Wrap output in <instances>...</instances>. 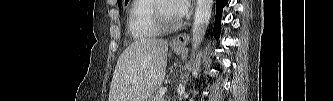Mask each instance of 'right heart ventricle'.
Wrapping results in <instances>:
<instances>
[{
	"label": "right heart ventricle",
	"instance_id": "e07e8e85",
	"mask_svg": "<svg viewBox=\"0 0 333 101\" xmlns=\"http://www.w3.org/2000/svg\"><path fill=\"white\" fill-rule=\"evenodd\" d=\"M155 0H134L129 10L127 27L130 35L138 41L149 40L160 33L154 23Z\"/></svg>",
	"mask_w": 333,
	"mask_h": 101
}]
</instances>
